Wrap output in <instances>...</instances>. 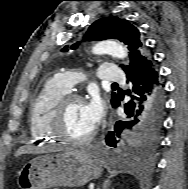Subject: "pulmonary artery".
Instances as JSON below:
<instances>
[{
  "mask_svg": "<svg viewBox=\"0 0 188 189\" xmlns=\"http://www.w3.org/2000/svg\"><path fill=\"white\" fill-rule=\"evenodd\" d=\"M99 81L121 82L124 80V73L114 64H104L96 72ZM82 76L74 71H64L58 73L55 79L68 90L77 84Z\"/></svg>",
  "mask_w": 188,
  "mask_h": 189,
  "instance_id": "obj_1",
  "label": "pulmonary artery"
}]
</instances>
